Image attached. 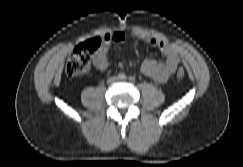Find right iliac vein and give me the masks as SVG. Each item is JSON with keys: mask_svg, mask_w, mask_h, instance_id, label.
<instances>
[{"mask_svg": "<svg viewBox=\"0 0 243 167\" xmlns=\"http://www.w3.org/2000/svg\"><path fill=\"white\" fill-rule=\"evenodd\" d=\"M110 81H111V82H114V81H115V79H114V78H112Z\"/></svg>", "mask_w": 243, "mask_h": 167, "instance_id": "obj_1", "label": "right iliac vein"}]
</instances>
